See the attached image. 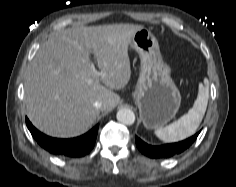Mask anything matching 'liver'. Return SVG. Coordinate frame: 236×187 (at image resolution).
Returning a JSON list of instances; mask_svg holds the SVG:
<instances>
[{
    "mask_svg": "<svg viewBox=\"0 0 236 187\" xmlns=\"http://www.w3.org/2000/svg\"><path fill=\"white\" fill-rule=\"evenodd\" d=\"M142 25L71 27L53 34L36 53L25 75L27 116L40 131L70 138L86 132L100 112L120 101L113 90L130 80L128 46ZM91 54L102 76L91 70ZM102 82L104 85H102ZM100 101V109L94 103Z\"/></svg>",
    "mask_w": 236,
    "mask_h": 187,
    "instance_id": "1",
    "label": "liver"
}]
</instances>
